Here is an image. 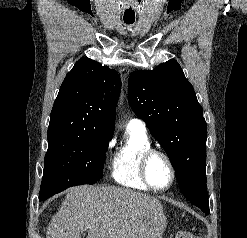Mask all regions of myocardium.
<instances>
[{"label":"myocardium","instance_id":"f54148a6","mask_svg":"<svg viewBox=\"0 0 247 238\" xmlns=\"http://www.w3.org/2000/svg\"><path fill=\"white\" fill-rule=\"evenodd\" d=\"M155 155H159L161 157H163L165 159V161L167 162L169 168H170V171H171V178H170V181L169 183L166 185V186H163V187H156L154 186L150 179H149V176H148V164L151 160V158ZM140 174H141V177L144 181V183L152 190H156V191H164V190H167L169 189L175 179H176V168H175V165H174V162L172 160V158L170 157V155L165 152L164 150L162 149H158V148H149L148 150H146L141 158V161H140Z\"/></svg>","mask_w":247,"mask_h":238}]
</instances>
